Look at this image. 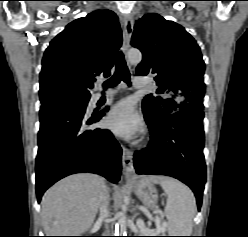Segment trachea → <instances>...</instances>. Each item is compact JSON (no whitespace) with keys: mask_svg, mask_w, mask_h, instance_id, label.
Masks as SVG:
<instances>
[{"mask_svg":"<svg viewBox=\"0 0 248 237\" xmlns=\"http://www.w3.org/2000/svg\"><path fill=\"white\" fill-rule=\"evenodd\" d=\"M121 80L130 86V73L123 53L119 52L116 60V71L110 79L104 82L103 87L104 89L115 87Z\"/></svg>","mask_w":248,"mask_h":237,"instance_id":"trachea-1","label":"trachea"}]
</instances>
